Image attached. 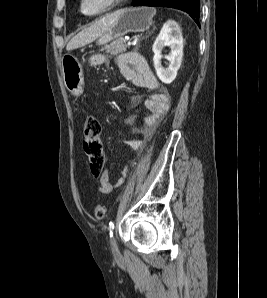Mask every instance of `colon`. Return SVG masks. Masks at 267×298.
I'll return each mask as SVG.
<instances>
[{"label": "colon", "mask_w": 267, "mask_h": 298, "mask_svg": "<svg viewBox=\"0 0 267 298\" xmlns=\"http://www.w3.org/2000/svg\"><path fill=\"white\" fill-rule=\"evenodd\" d=\"M83 147L89 160L90 171L94 177H98L105 165L106 155L101 139V125L94 117H88L83 127ZM106 209L97 204L94 208V216L98 220L105 217Z\"/></svg>", "instance_id": "obj_1"}]
</instances>
